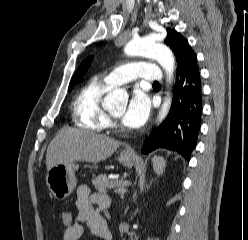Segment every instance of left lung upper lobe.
Wrapping results in <instances>:
<instances>
[{"instance_id":"left-lung-upper-lobe-1","label":"left lung upper lobe","mask_w":248,"mask_h":240,"mask_svg":"<svg viewBox=\"0 0 248 240\" xmlns=\"http://www.w3.org/2000/svg\"><path fill=\"white\" fill-rule=\"evenodd\" d=\"M164 43L171 48L176 57L177 72L195 54L188 44L187 39L174 29H167V36Z\"/></svg>"}]
</instances>
